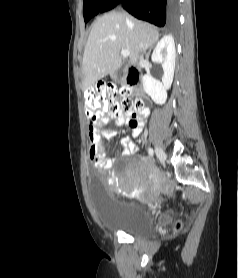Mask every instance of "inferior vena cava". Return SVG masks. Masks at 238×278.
Here are the masks:
<instances>
[{"mask_svg": "<svg viewBox=\"0 0 238 278\" xmlns=\"http://www.w3.org/2000/svg\"><path fill=\"white\" fill-rule=\"evenodd\" d=\"M143 63H144V59H143V56H141V57H140L139 64L142 65Z\"/></svg>", "mask_w": 238, "mask_h": 278, "instance_id": "602c4592", "label": "inferior vena cava"}]
</instances>
